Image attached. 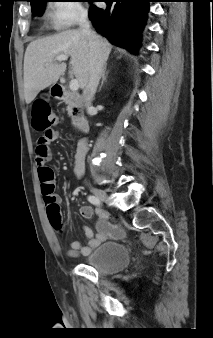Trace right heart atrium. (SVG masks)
<instances>
[{
    "instance_id": "d8ad5b80",
    "label": "right heart atrium",
    "mask_w": 213,
    "mask_h": 338,
    "mask_svg": "<svg viewBox=\"0 0 213 338\" xmlns=\"http://www.w3.org/2000/svg\"><path fill=\"white\" fill-rule=\"evenodd\" d=\"M84 9L75 3L60 2L51 9V21L56 27H69L84 19Z\"/></svg>"
}]
</instances>
